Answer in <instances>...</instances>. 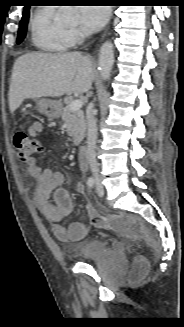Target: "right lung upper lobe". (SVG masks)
Masks as SVG:
<instances>
[{"instance_id":"obj_1","label":"right lung upper lobe","mask_w":184,"mask_h":327,"mask_svg":"<svg viewBox=\"0 0 184 327\" xmlns=\"http://www.w3.org/2000/svg\"><path fill=\"white\" fill-rule=\"evenodd\" d=\"M29 8H30L29 6H25L23 13L29 11Z\"/></svg>"}]
</instances>
